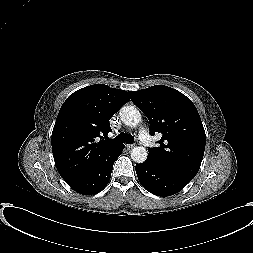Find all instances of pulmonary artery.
I'll return each mask as SVG.
<instances>
[{"label": "pulmonary artery", "mask_w": 253, "mask_h": 253, "mask_svg": "<svg viewBox=\"0 0 253 253\" xmlns=\"http://www.w3.org/2000/svg\"><path fill=\"white\" fill-rule=\"evenodd\" d=\"M139 138L144 145H150L152 143L151 136L145 128L139 130Z\"/></svg>", "instance_id": "pulmonary-artery-1"}]
</instances>
